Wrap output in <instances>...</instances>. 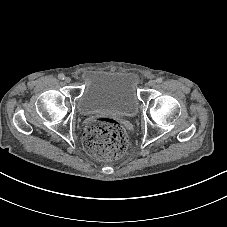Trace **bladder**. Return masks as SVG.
<instances>
[{"label":"bladder","mask_w":227,"mask_h":227,"mask_svg":"<svg viewBox=\"0 0 227 227\" xmlns=\"http://www.w3.org/2000/svg\"><path fill=\"white\" fill-rule=\"evenodd\" d=\"M132 72L93 71L77 98L81 116L110 115L126 119L135 116L141 104Z\"/></svg>","instance_id":"31cf9c89"}]
</instances>
